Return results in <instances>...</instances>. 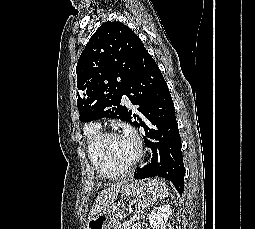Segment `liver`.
<instances>
[{
  "label": "liver",
  "instance_id": "6515ba94",
  "mask_svg": "<svg viewBox=\"0 0 255 229\" xmlns=\"http://www.w3.org/2000/svg\"><path fill=\"white\" fill-rule=\"evenodd\" d=\"M122 183L113 184L111 187L104 189L98 194L88 218H92L98 213L105 210L108 206L112 205L117 198Z\"/></svg>",
  "mask_w": 255,
  "mask_h": 229
}]
</instances>
